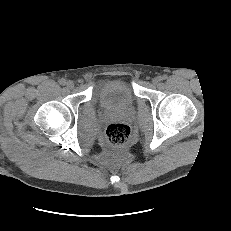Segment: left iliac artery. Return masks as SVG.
<instances>
[{
  "label": "left iliac artery",
  "mask_w": 231,
  "mask_h": 231,
  "mask_svg": "<svg viewBox=\"0 0 231 231\" xmlns=\"http://www.w3.org/2000/svg\"><path fill=\"white\" fill-rule=\"evenodd\" d=\"M166 78H167L166 75H162V76L160 77V80H165Z\"/></svg>",
  "instance_id": "obj_1"
}]
</instances>
